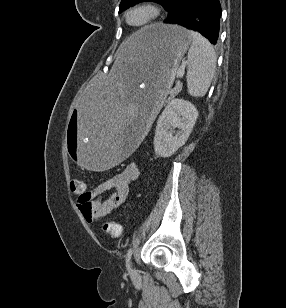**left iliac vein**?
<instances>
[{"label": "left iliac vein", "instance_id": "obj_1", "mask_svg": "<svg viewBox=\"0 0 286 308\" xmlns=\"http://www.w3.org/2000/svg\"><path fill=\"white\" fill-rule=\"evenodd\" d=\"M130 273H131V275H136V273H137L135 267L133 266V263H131V265H130Z\"/></svg>", "mask_w": 286, "mask_h": 308}]
</instances>
